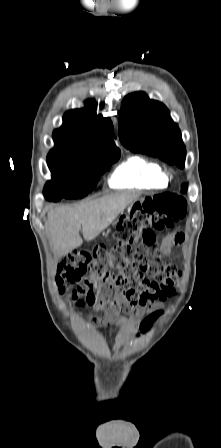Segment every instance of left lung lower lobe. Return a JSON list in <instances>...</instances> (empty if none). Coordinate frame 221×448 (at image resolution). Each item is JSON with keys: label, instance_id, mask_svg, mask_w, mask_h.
I'll list each match as a JSON object with an SVG mask.
<instances>
[{"label": "left lung lower lobe", "instance_id": "left-lung-lower-lobe-1", "mask_svg": "<svg viewBox=\"0 0 221 448\" xmlns=\"http://www.w3.org/2000/svg\"><path fill=\"white\" fill-rule=\"evenodd\" d=\"M186 190H187L186 185H183L182 186V192H186Z\"/></svg>", "mask_w": 221, "mask_h": 448}]
</instances>
